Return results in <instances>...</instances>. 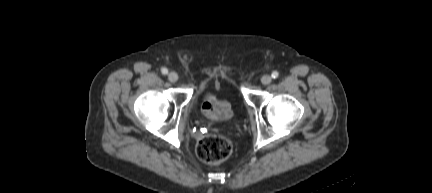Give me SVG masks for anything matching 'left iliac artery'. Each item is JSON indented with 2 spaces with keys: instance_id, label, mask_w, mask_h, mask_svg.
I'll list each match as a JSON object with an SVG mask.
<instances>
[{
  "instance_id": "obj_1",
  "label": "left iliac artery",
  "mask_w": 432,
  "mask_h": 193,
  "mask_svg": "<svg viewBox=\"0 0 432 193\" xmlns=\"http://www.w3.org/2000/svg\"><path fill=\"white\" fill-rule=\"evenodd\" d=\"M272 78L276 79L279 76V73L277 71L272 72L271 74Z\"/></svg>"
}]
</instances>
